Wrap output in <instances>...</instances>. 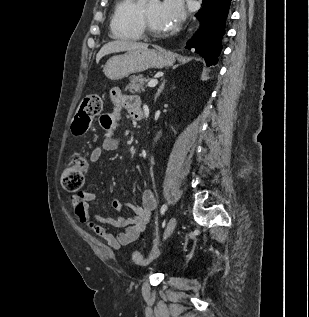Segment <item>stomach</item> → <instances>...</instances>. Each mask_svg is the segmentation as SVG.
<instances>
[{"instance_id": "0dacf381", "label": "stomach", "mask_w": 309, "mask_h": 317, "mask_svg": "<svg viewBox=\"0 0 309 317\" xmlns=\"http://www.w3.org/2000/svg\"><path fill=\"white\" fill-rule=\"evenodd\" d=\"M174 61L173 55L160 47L136 49L112 56L103 71L108 79L117 81L150 68H164L172 65Z\"/></svg>"}]
</instances>
